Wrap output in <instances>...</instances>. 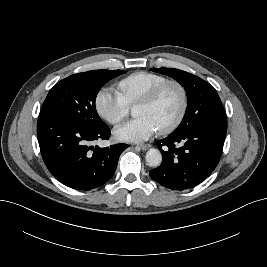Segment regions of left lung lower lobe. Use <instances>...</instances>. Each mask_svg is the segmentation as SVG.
I'll list each match as a JSON object with an SVG mask.
<instances>
[{"label":"left lung lower lobe","instance_id":"0a47b994","mask_svg":"<svg viewBox=\"0 0 267 267\" xmlns=\"http://www.w3.org/2000/svg\"><path fill=\"white\" fill-rule=\"evenodd\" d=\"M218 116L157 141L163 163L150 171L151 178L171 190L190 189L206 179L220 160L227 132V120Z\"/></svg>","mask_w":267,"mask_h":267}]
</instances>
